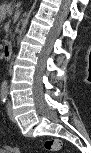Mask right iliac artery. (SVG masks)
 <instances>
[{
  "label": "right iliac artery",
  "mask_w": 91,
  "mask_h": 153,
  "mask_svg": "<svg viewBox=\"0 0 91 153\" xmlns=\"http://www.w3.org/2000/svg\"><path fill=\"white\" fill-rule=\"evenodd\" d=\"M7 91H8L7 86L6 85L2 86V88H1V101L3 103H5L7 100Z\"/></svg>",
  "instance_id": "82829eb1"
}]
</instances>
